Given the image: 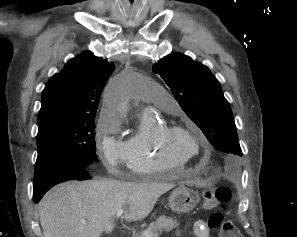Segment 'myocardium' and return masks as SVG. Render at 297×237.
<instances>
[{
    "mask_svg": "<svg viewBox=\"0 0 297 237\" xmlns=\"http://www.w3.org/2000/svg\"><path fill=\"white\" fill-rule=\"evenodd\" d=\"M175 135H183L192 138L197 144V153L194 155H185L173 143ZM201 139L199 136L183 126H164L159 130L157 135V145L165 155L173 156L184 162H188L203 152L200 144Z\"/></svg>",
    "mask_w": 297,
    "mask_h": 237,
    "instance_id": "1",
    "label": "myocardium"
}]
</instances>
